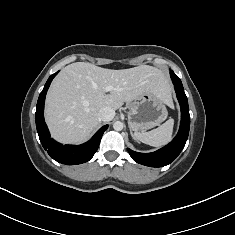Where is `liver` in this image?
Masks as SVG:
<instances>
[{"mask_svg": "<svg viewBox=\"0 0 235 235\" xmlns=\"http://www.w3.org/2000/svg\"><path fill=\"white\" fill-rule=\"evenodd\" d=\"M112 86L109 94L105 88ZM146 92L156 93L171 105V86L156 67L112 70L88 62L63 68L46 96L45 120L52 137L62 143H82L99 126L102 107L119 109Z\"/></svg>", "mask_w": 235, "mask_h": 235, "instance_id": "liver-1", "label": "liver"}]
</instances>
